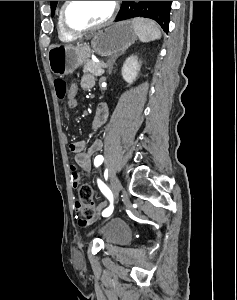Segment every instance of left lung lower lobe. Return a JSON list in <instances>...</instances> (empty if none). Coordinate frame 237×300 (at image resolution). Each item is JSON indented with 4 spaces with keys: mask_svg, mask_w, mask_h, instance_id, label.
<instances>
[{
    "mask_svg": "<svg viewBox=\"0 0 237 300\" xmlns=\"http://www.w3.org/2000/svg\"><path fill=\"white\" fill-rule=\"evenodd\" d=\"M165 5H171V1H165Z\"/></svg>",
    "mask_w": 237,
    "mask_h": 300,
    "instance_id": "1",
    "label": "left lung lower lobe"
}]
</instances>
